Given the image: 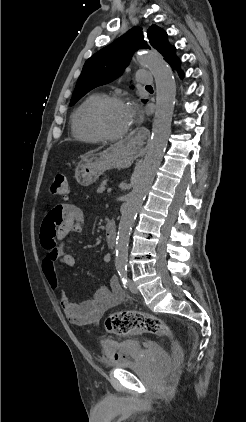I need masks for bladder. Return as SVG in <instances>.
I'll list each match as a JSON object with an SVG mask.
<instances>
[{
	"mask_svg": "<svg viewBox=\"0 0 246 422\" xmlns=\"http://www.w3.org/2000/svg\"><path fill=\"white\" fill-rule=\"evenodd\" d=\"M151 351L158 367L166 368L169 364L167 353L159 347H154ZM103 352L111 366L115 368H127L138 361L142 352V346L137 339L133 338L110 340L104 344Z\"/></svg>",
	"mask_w": 246,
	"mask_h": 422,
	"instance_id": "obj_1",
	"label": "bladder"
}]
</instances>
